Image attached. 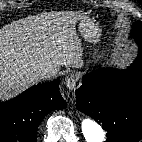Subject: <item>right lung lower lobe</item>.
<instances>
[{
  "instance_id": "98d812e1",
  "label": "right lung lower lobe",
  "mask_w": 142,
  "mask_h": 142,
  "mask_svg": "<svg viewBox=\"0 0 142 142\" xmlns=\"http://www.w3.org/2000/svg\"><path fill=\"white\" fill-rule=\"evenodd\" d=\"M60 79L33 86L0 102V142H36L37 128L53 110L66 108L59 92Z\"/></svg>"
}]
</instances>
